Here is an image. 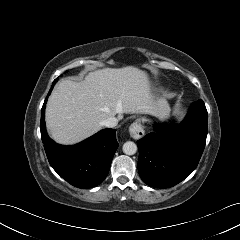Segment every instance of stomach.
<instances>
[{"instance_id": "0dacf381", "label": "stomach", "mask_w": 240, "mask_h": 240, "mask_svg": "<svg viewBox=\"0 0 240 240\" xmlns=\"http://www.w3.org/2000/svg\"><path fill=\"white\" fill-rule=\"evenodd\" d=\"M167 117H168V113H167L166 115L160 117V118L165 119V118H167Z\"/></svg>"}]
</instances>
